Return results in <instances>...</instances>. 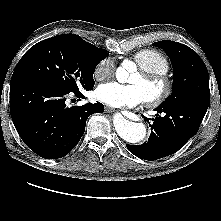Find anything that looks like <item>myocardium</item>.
<instances>
[{"label":"myocardium","instance_id":"myocardium-1","mask_svg":"<svg viewBox=\"0 0 221 221\" xmlns=\"http://www.w3.org/2000/svg\"><path fill=\"white\" fill-rule=\"evenodd\" d=\"M139 74L146 80L161 85V90L157 94L146 99L149 106H159L170 97L173 90V80L167 73L151 72L141 69Z\"/></svg>","mask_w":221,"mask_h":221}]
</instances>
